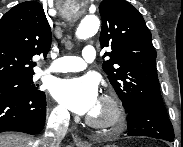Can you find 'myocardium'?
I'll return each mask as SVG.
<instances>
[{
    "label": "myocardium",
    "mask_w": 183,
    "mask_h": 147,
    "mask_svg": "<svg viewBox=\"0 0 183 147\" xmlns=\"http://www.w3.org/2000/svg\"><path fill=\"white\" fill-rule=\"evenodd\" d=\"M99 101L107 106L109 116L106 119H98L88 114L86 123L96 129H110L121 126L125 121V112L120 100L112 94H103Z\"/></svg>",
    "instance_id": "obj_1"
}]
</instances>
